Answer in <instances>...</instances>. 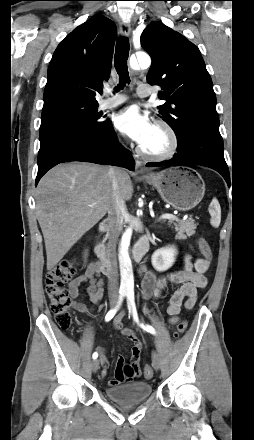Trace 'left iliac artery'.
I'll list each match as a JSON object with an SVG mask.
<instances>
[{
    "mask_svg": "<svg viewBox=\"0 0 254 440\" xmlns=\"http://www.w3.org/2000/svg\"><path fill=\"white\" fill-rule=\"evenodd\" d=\"M126 296H127V303H128L129 311L132 312V314H133V316H134L136 322L139 323L138 318H137V312H136V307H135V301H134V292L129 291V292L126 294ZM140 326H141L144 330H146L147 332H149V333H151V334H155V333H156V332H155V329H154L152 326H150V325H143V324H140Z\"/></svg>",
    "mask_w": 254,
    "mask_h": 440,
    "instance_id": "1",
    "label": "left iliac artery"
}]
</instances>
